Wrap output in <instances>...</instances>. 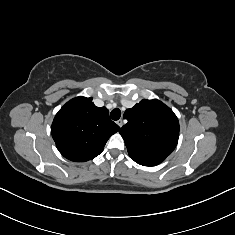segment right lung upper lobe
Wrapping results in <instances>:
<instances>
[{
  "label": "right lung upper lobe",
  "mask_w": 235,
  "mask_h": 235,
  "mask_svg": "<svg viewBox=\"0 0 235 235\" xmlns=\"http://www.w3.org/2000/svg\"><path fill=\"white\" fill-rule=\"evenodd\" d=\"M120 127L109 118L105 107L92 98L76 97L56 114L51 134L59 152L67 159L85 162L98 156L111 135Z\"/></svg>",
  "instance_id": "right-lung-upper-lobe-1"
}]
</instances>
